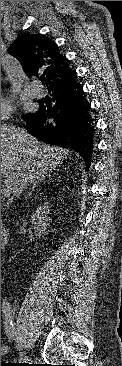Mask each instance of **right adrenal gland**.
Segmentation results:
<instances>
[{
  "label": "right adrenal gland",
  "instance_id": "1",
  "mask_svg": "<svg viewBox=\"0 0 122 366\" xmlns=\"http://www.w3.org/2000/svg\"><path fill=\"white\" fill-rule=\"evenodd\" d=\"M44 180H45V177H44V178H41V179H39V180H37V181H35V182L33 183L32 190L28 193L27 198H28V197H30V196L32 195V191H34V189H35L36 185H37L39 182H43Z\"/></svg>",
  "mask_w": 122,
  "mask_h": 366
}]
</instances>
